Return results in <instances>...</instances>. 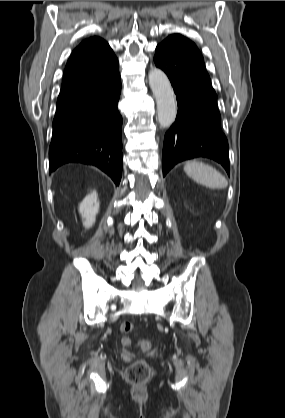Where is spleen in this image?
Returning a JSON list of instances; mask_svg holds the SVG:
<instances>
[{"instance_id":"obj_1","label":"spleen","mask_w":285,"mask_h":418,"mask_svg":"<svg viewBox=\"0 0 285 418\" xmlns=\"http://www.w3.org/2000/svg\"><path fill=\"white\" fill-rule=\"evenodd\" d=\"M184 171L197 183L212 189H224L228 185L226 178L219 171L197 160L186 162Z\"/></svg>"}]
</instances>
